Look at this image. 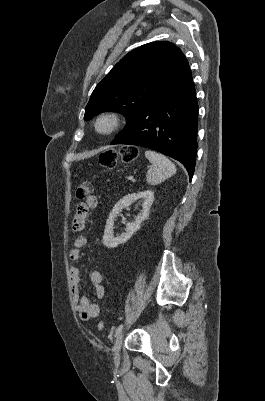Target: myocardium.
Wrapping results in <instances>:
<instances>
[{
	"label": "myocardium",
	"instance_id": "f54148a6",
	"mask_svg": "<svg viewBox=\"0 0 265 401\" xmlns=\"http://www.w3.org/2000/svg\"><path fill=\"white\" fill-rule=\"evenodd\" d=\"M122 123V118L120 113L116 111H108L100 114L95 122L94 129L95 132L100 136H110L114 134L120 128ZM105 124L106 127L102 128V125Z\"/></svg>",
	"mask_w": 265,
	"mask_h": 401
}]
</instances>
